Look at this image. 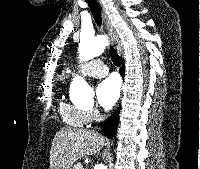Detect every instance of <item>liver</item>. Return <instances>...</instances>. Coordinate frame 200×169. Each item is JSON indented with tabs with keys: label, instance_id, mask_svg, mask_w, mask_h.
<instances>
[{
	"label": "liver",
	"instance_id": "obj_1",
	"mask_svg": "<svg viewBox=\"0 0 200 169\" xmlns=\"http://www.w3.org/2000/svg\"><path fill=\"white\" fill-rule=\"evenodd\" d=\"M104 143L105 138L94 131L64 127L53 138L50 169H71L77 160L99 152Z\"/></svg>",
	"mask_w": 200,
	"mask_h": 169
}]
</instances>
